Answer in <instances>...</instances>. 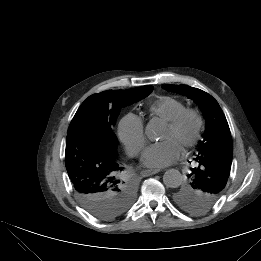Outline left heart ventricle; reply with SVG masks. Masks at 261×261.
I'll return each instance as SVG.
<instances>
[{
	"label": "left heart ventricle",
	"mask_w": 261,
	"mask_h": 261,
	"mask_svg": "<svg viewBox=\"0 0 261 261\" xmlns=\"http://www.w3.org/2000/svg\"><path fill=\"white\" fill-rule=\"evenodd\" d=\"M194 129L195 121L192 118H189L178 129H174L167 125L162 138H174L181 146H183V144L192 136Z\"/></svg>",
	"instance_id": "obj_1"
}]
</instances>
